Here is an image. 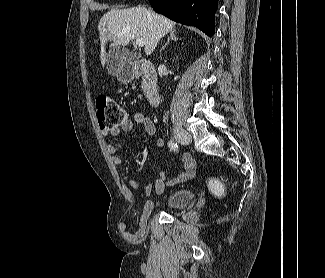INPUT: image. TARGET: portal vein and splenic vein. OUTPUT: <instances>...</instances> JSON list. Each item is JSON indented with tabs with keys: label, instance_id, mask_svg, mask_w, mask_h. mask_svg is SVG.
<instances>
[{
	"label": "portal vein and splenic vein",
	"instance_id": "18ae733b",
	"mask_svg": "<svg viewBox=\"0 0 325 278\" xmlns=\"http://www.w3.org/2000/svg\"><path fill=\"white\" fill-rule=\"evenodd\" d=\"M136 45H137L138 47H143V46H144V40L141 39V38H137V39H136Z\"/></svg>",
	"mask_w": 325,
	"mask_h": 278
}]
</instances>
